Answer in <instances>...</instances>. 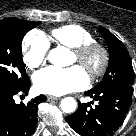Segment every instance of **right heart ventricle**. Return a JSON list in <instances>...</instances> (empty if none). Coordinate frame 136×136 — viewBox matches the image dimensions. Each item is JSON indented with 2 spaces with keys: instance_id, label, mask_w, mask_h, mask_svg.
I'll return each mask as SVG.
<instances>
[{
  "instance_id": "obj_1",
  "label": "right heart ventricle",
  "mask_w": 136,
  "mask_h": 136,
  "mask_svg": "<svg viewBox=\"0 0 136 136\" xmlns=\"http://www.w3.org/2000/svg\"><path fill=\"white\" fill-rule=\"evenodd\" d=\"M51 35L57 43L69 48H75L94 41L93 34L79 24L59 26L51 31Z\"/></svg>"
}]
</instances>
